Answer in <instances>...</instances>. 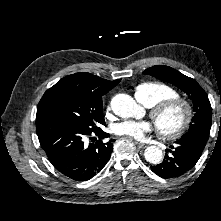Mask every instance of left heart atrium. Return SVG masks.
<instances>
[{
    "label": "left heart atrium",
    "instance_id": "left-heart-atrium-1",
    "mask_svg": "<svg viewBox=\"0 0 221 221\" xmlns=\"http://www.w3.org/2000/svg\"><path fill=\"white\" fill-rule=\"evenodd\" d=\"M152 124L147 121L126 120L114 125L113 131L118 136H126L135 140H142L145 134L151 132Z\"/></svg>",
    "mask_w": 221,
    "mask_h": 221
}]
</instances>
